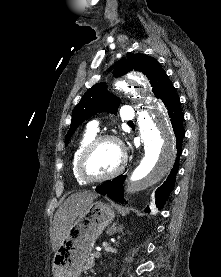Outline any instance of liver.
I'll list each match as a JSON object with an SVG mask.
<instances>
[{
	"label": "liver",
	"instance_id": "obj_1",
	"mask_svg": "<svg viewBox=\"0 0 221 277\" xmlns=\"http://www.w3.org/2000/svg\"><path fill=\"white\" fill-rule=\"evenodd\" d=\"M98 194L83 191L72 194L56 211L51 234L52 250L55 252L67 237L69 229L78 215L87 208Z\"/></svg>",
	"mask_w": 221,
	"mask_h": 277
}]
</instances>
